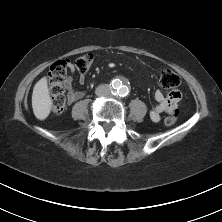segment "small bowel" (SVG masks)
Returning <instances> with one entry per match:
<instances>
[{
	"instance_id": "c3829d8e",
	"label": "small bowel",
	"mask_w": 222,
	"mask_h": 222,
	"mask_svg": "<svg viewBox=\"0 0 222 222\" xmlns=\"http://www.w3.org/2000/svg\"><path fill=\"white\" fill-rule=\"evenodd\" d=\"M71 75H69L65 80V88L67 91V98L69 102H74L81 99L84 96L83 91L76 90L74 88V77L75 67L70 66ZM80 84H84L85 75L80 74L78 77ZM156 105L150 110V118L154 122H158L161 119L163 113H170L172 109L180 110L185 105V100L183 93L180 90L174 89L168 93L167 98L164 94L157 90L154 94Z\"/></svg>"
}]
</instances>
